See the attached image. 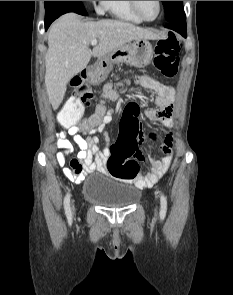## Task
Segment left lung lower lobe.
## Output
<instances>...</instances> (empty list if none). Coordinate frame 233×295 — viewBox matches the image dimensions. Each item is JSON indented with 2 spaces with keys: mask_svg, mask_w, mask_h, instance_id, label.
Masks as SVG:
<instances>
[{
  "mask_svg": "<svg viewBox=\"0 0 233 295\" xmlns=\"http://www.w3.org/2000/svg\"><path fill=\"white\" fill-rule=\"evenodd\" d=\"M165 27L180 33L185 38L187 36V33H186V17H183L182 19L167 23L165 25Z\"/></svg>",
  "mask_w": 233,
  "mask_h": 295,
  "instance_id": "obj_1",
  "label": "left lung lower lobe"
}]
</instances>
